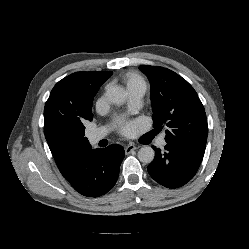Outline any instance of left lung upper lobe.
I'll return each instance as SVG.
<instances>
[{
  "mask_svg": "<svg viewBox=\"0 0 249 249\" xmlns=\"http://www.w3.org/2000/svg\"><path fill=\"white\" fill-rule=\"evenodd\" d=\"M151 83L153 127H168L165 140L203 156L208 126L204 107L194 88L175 72L158 66L141 65Z\"/></svg>",
  "mask_w": 249,
  "mask_h": 249,
  "instance_id": "5c2ea615",
  "label": "left lung upper lobe"
}]
</instances>
